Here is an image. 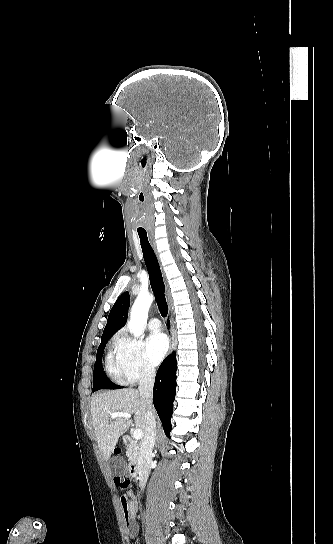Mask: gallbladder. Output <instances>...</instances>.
<instances>
[{
	"label": "gallbladder",
	"instance_id": "gallbladder-1",
	"mask_svg": "<svg viewBox=\"0 0 333 544\" xmlns=\"http://www.w3.org/2000/svg\"><path fill=\"white\" fill-rule=\"evenodd\" d=\"M113 476H121L127 471V465L123 458L117 456L109 463Z\"/></svg>",
	"mask_w": 333,
	"mask_h": 544
}]
</instances>
